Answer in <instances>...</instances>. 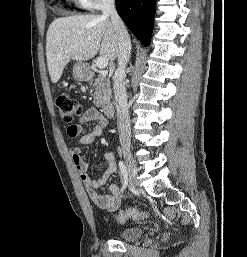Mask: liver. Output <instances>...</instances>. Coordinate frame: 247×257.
Instances as JSON below:
<instances>
[{"instance_id":"1","label":"liver","mask_w":247,"mask_h":257,"mask_svg":"<svg viewBox=\"0 0 247 257\" xmlns=\"http://www.w3.org/2000/svg\"><path fill=\"white\" fill-rule=\"evenodd\" d=\"M113 61L119 53L116 31L108 16L73 15L55 19L46 37L48 71L57 83L70 60L87 61L97 53Z\"/></svg>"}]
</instances>
